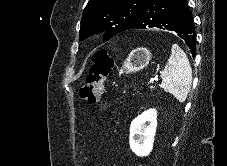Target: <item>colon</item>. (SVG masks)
<instances>
[{
    "label": "colon",
    "mask_w": 227,
    "mask_h": 166,
    "mask_svg": "<svg viewBox=\"0 0 227 166\" xmlns=\"http://www.w3.org/2000/svg\"><path fill=\"white\" fill-rule=\"evenodd\" d=\"M112 67L113 60L105 50H100L94 55L86 82L79 91L82 101L92 105L100 102L105 78Z\"/></svg>",
    "instance_id": "5ec220e1"
}]
</instances>
